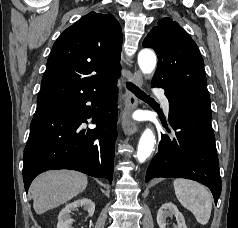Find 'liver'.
Listing matches in <instances>:
<instances>
[{"label": "liver", "instance_id": "1", "mask_svg": "<svg viewBox=\"0 0 238 228\" xmlns=\"http://www.w3.org/2000/svg\"><path fill=\"white\" fill-rule=\"evenodd\" d=\"M87 176L77 171H48L34 179L30 186L33 208L37 214L58 207L85 190Z\"/></svg>", "mask_w": 238, "mask_h": 228}]
</instances>
